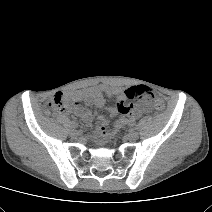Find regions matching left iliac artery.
I'll list each match as a JSON object with an SVG mask.
<instances>
[{
  "instance_id": "obj_1",
  "label": "left iliac artery",
  "mask_w": 212,
  "mask_h": 212,
  "mask_svg": "<svg viewBox=\"0 0 212 212\" xmlns=\"http://www.w3.org/2000/svg\"><path fill=\"white\" fill-rule=\"evenodd\" d=\"M135 129H139V125H135Z\"/></svg>"
}]
</instances>
